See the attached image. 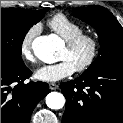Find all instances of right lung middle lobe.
I'll return each instance as SVG.
<instances>
[{"mask_svg": "<svg viewBox=\"0 0 123 123\" xmlns=\"http://www.w3.org/2000/svg\"><path fill=\"white\" fill-rule=\"evenodd\" d=\"M48 8L38 11L22 8L1 9V65L23 66L22 42L26 33L45 15Z\"/></svg>", "mask_w": 123, "mask_h": 123, "instance_id": "right-lung-middle-lobe-1", "label": "right lung middle lobe"}]
</instances>
